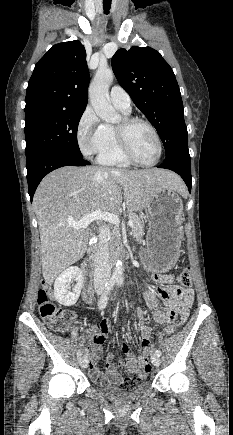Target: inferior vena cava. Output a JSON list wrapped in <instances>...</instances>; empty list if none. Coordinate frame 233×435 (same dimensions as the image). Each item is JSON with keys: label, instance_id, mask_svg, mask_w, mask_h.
Returning a JSON list of instances; mask_svg holds the SVG:
<instances>
[{"label": "inferior vena cava", "instance_id": "1", "mask_svg": "<svg viewBox=\"0 0 233 435\" xmlns=\"http://www.w3.org/2000/svg\"><path fill=\"white\" fill-rule=\"evenodd\" d=\"M111 233L108 227L99 228L98 250L95 254L94 288L103 289L109 281L111 270L109 265V240Z\"/></svg>", "mask_w": 233, "mask_h": 435}]
</instances>
